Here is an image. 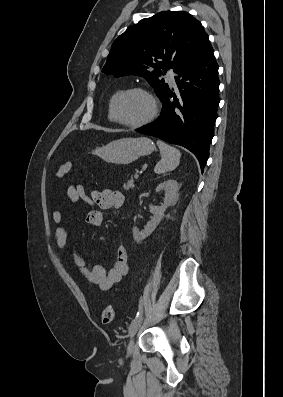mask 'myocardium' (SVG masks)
Segmentation results:
<instances>
[{
	"mask_svg": "<svg viewBox=\"0 0 283 397\" xmlns=\"http://www.w3.org/2000/svg\"><path fill=\"white\" fill-rule=\"evenodd\" d=\"M134 92L144 94L150 100L151 112L146 118L138 122H126L119 117L117 112V104L121 97H123L126 94L134 93ZM111 110H112L113 118L115 122H117L118 124L128 128H139L151 123L157 117L159 111V105L155 95L151 91L141 86H134L123 89L115 95V97L112 100Z\"/></svg>",
	"mask_w": 283,
	"mask_h": 397,
	"instance_id": "myocardium-1",
	"label": "myocardium"
}]
</instances>
